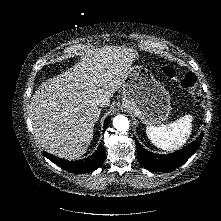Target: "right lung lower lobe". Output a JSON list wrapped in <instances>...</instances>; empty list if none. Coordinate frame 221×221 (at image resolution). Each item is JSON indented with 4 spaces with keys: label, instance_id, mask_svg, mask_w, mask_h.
Wrapping results in <instances>:
<instances>
[{
    "label": "right lung lower lobe",
    "instance_id": "1",
    "mask_svg": "<svg viewBox=\"0 0 221 221\" xmlns=\"http://www.w3.org/2000/svg\"><path fill=\"white\" fill-rule=\"evenodd\" d=\"M109 122L110 117H107L104 123V130L108 126ZM43 154L59 167L70 172L82 174L92 172L103 164L105 159V148L100 145L93 155L79 161L62 160L46 152H43Z\"/></svg>",
    "mask_w": 221,
    "mask_h": 221
}]
</instances>
